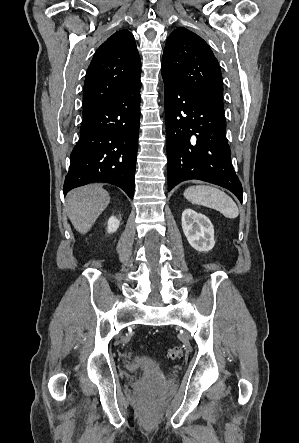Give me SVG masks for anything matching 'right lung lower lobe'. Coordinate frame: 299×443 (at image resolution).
Segmentation results:
<instances>
[{"label": "right lung lower lobe", "mask_w": 299, "mask_h": 443, "mask_svg": "<svg viewBox=\"0 0 299 443\" xmlns=\"http://www.w3.org/2000/svg\"><path fill=\"white\" fill-rule=\"evenodd\" d=\"M141 82L83 114L80 139L75 145L64 195L75 187L105 182L134 195L139 135Z\"/></svg>", "instance_id": "right-lung-lower-lobe-1"}]
</instances>
